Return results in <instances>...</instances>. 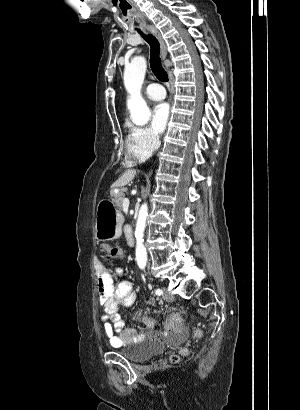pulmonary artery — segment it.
Segmentation results:
<instances>
[{
  "label": "pulmonary artery",
  "mask_w": 300,
  "mask_h": 410,
  "mask_svg": "<svg viewBox=\"0 0 300 410\" xmlns=\"http://www.w3.org/2000/svg\"><path fill=\"white\" fill-rule=\"evenodd\" d=\"M145 94L147 98L154 100V101L162 100L166 96V92L164 88L159 84L149 85L145 90Z\"/></svg>",
  "instance_id": "obj_1"
}]
</instances>
